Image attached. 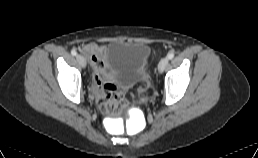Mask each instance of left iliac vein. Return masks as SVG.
Masks as SVG:
<instances>
[{
	"label": "left iliac vein",
	"mask_w": 258,
	"mask_h": 158,
	"mask_svg": "<svg viewBox=\"0 0 258 158\" xmlns=\"http://www.w3.org/2000/svg\"><path fill=\"white\" fill-rule=\"evenodd\" d=\"M168 62L169 59L167 57L161 59L158 65V70L160 73H162L165 70L166 66L168 65Z\"/></svg>",
	"instance_id": "obj_1"
}]
</instances>
